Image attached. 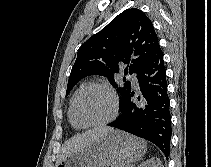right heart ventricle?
Instances as JSON below:
<instances>
[{
  "mask_svg": "<svg viewBox=\"0 0 211 167\" xmlns=\"http://www.w3.org/2000/svg\"><path fill=\"white\" fill-rule=\"evenodd\" d=\"M82 86H83V85H81L80 88H81ZM80 88H79V89H80ZM79 89H78V90H79ZM78 90H77V91H78ZM77 91H76V92H77ZM76 92L74 93V95L76 94ZM74 95L72 96V98H71V100H70V104H69V108H68V119H69V122H70V124L72 125L73 128L79 129V128H81V127L77 126V125L72 121L71 116H70L71 103H72V100H73Z\"/></svg>",
  "mask_w": 211,
  "mask_h": 167,
  "instance_id": "obj_1",
  "label": "right heart ventricle"
}]
</instances>
